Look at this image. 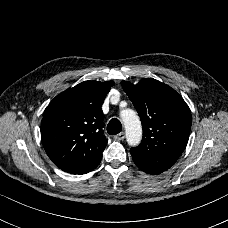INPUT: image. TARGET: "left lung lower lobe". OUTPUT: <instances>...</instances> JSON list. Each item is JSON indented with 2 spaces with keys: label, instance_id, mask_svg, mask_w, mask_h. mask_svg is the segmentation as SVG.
Segmentation results:
<instances>
[{
  "label": "left lung lower lobe",
  "instance_id": "1",
  "mask_svg": "<svg viewBox=\"0 0 228 228\" xmlns=\"http://www.w3.org/2000/svg\"><path fill=\"white\" fill-rule=\"evenodd\" d=\"M142 171L148 173V174H160L162 172L160 171H156V170H153L151 168H148V167H144V166H141V165H137Z\"/></svg>",
  "mask_w": 228,
  "mask_h": 228
}]
</instances>
